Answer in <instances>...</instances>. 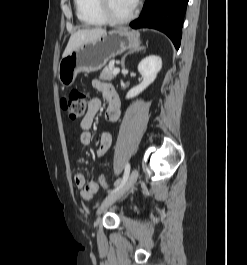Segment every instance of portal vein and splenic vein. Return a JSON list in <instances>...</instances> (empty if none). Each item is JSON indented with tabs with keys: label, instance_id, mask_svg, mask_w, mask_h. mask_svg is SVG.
<instances>
[{
	"label": "portal vein and splenic vein",
	"instance_id": "1",
	"mask_svg": "<svg viewBox=\"0 0 247 265\" xmlns=\"http://www.w3.org/2000/svg\"><path fill=\"white\" fill-rule=\"evenodd\" d=\"M119 72H120V69L118 67L114 68V71H113L114 75L118 74Z\"/></svg>",
	"mask_w": 247,
	"mask_h": 265
}]
</instances>
